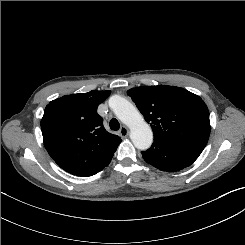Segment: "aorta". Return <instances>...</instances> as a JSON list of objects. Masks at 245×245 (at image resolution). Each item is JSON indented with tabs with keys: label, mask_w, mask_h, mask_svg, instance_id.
Listing matches in <instances>:
<instances>
[{
	"label": "aorta",
	"mask_w": 245,
	"mask_h": 245,
	"mask_svg": "<svg viewBox=\"0 0 245 245\" xmlns=\"http://www.w3.org/2000/svg\"><path fill=\"white\" fill-rule=\"evenodd\" d=\"M109 106L114 114L130 128V138L137 149L146 150L153 142V133L140 112L129 101L112 96Z\"/></svg>",
	"instance_id": "aorta-1"
}]
</instances>
